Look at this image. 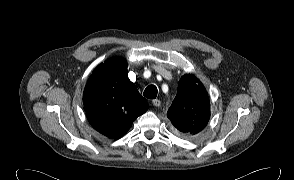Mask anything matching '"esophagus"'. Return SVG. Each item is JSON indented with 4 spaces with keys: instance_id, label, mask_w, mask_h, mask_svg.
<instances>
[{
    "instance_id": "1",
    "label": "esophagus",
    "mask_w": 294,
    "mask_h": 180,
    "mask_svg": "<svg viewBox=\"0 0 294 180\" xmlns=\"http://www.w3.org/2000/svg\"><path fill=\"white\" fill-rule=\"evenodd\" d=\"M152 104H153V106H155V107H159L160 104H161V101L158 100V99H154V100L152 101Z\"/></svg>"
}]
</instances>
